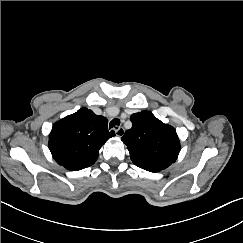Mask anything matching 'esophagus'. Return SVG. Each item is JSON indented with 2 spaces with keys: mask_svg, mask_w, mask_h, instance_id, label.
<instances>
[{
  "mask_svg": "<svg viewBox=\"0 0 243 243\" xmlns=\"http://www.w3.org/2000/svg\"><path fill=\"white\" fill-rule=\"evenodd\" d=\"M114 130H115V134L117 137H122L125 134V130L123 127H118V128H115Z\"/></svg>",
  "mask_w": 243,
  "mask_h": 243,
  "instance_id": "obj_1",
  "label": "esophagus"
}]
</instances>
